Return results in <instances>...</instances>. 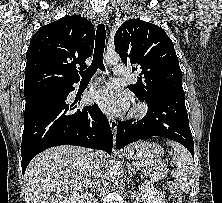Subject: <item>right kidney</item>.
<instances>
[{
    "mask_svg": "<svg viewBox=\"0 0 222 203\" xmlns=\"http://www.w3.org/2000/svg\"><path fill=\"white\" fill-rule=\"evenodd\" d=\"M92 196L90 193L86 192L84 194L75 196L67 201V203H91L90 200Z\"/></svg>",
    "mask_w": 222,
    "mask_h": 203,
    "instance_id": "right-kidney-1",
    "label": "right kidney"
}]
</instances>
